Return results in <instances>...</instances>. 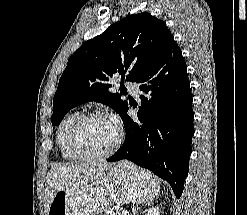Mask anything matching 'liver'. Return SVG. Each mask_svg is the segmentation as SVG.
Listing matches in <instances>:
<instances>
[{"instance_id": "liver-1", "label": "liver", "mask_w": 247, "mask_h": 215, "mask_svg": "<svg viewBox=\"0 0 247 215\" xmlns=\"http://www.w3.org/2000/svg\"><path fill=\"white\" fill-rule=\"evenodd\" d=\"M112 166L113 164L106 162L53 165L46 177L45 212H48L49 206L59 190L63 188L83 190L100 179L105 171Z\"/></svg>"}]
</instances>
